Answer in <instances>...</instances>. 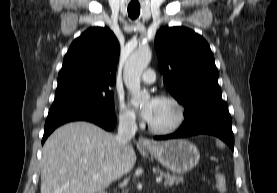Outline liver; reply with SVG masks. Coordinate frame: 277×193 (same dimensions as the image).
I'll return each mask as SVG.
<instances>
[{"instance_id":"6515ba94","label":"liver","mask_w":277,"mask_h":193,"mask_svg":"<svg viewBox=\"0 0 277 193\" xmlns=\"http://www.w3.org/2000/svg\"><path fill=\"white\" fill-rule=\"evenodd\" d=\"M136 154L89 122L55 130L42 150L41 193H97L131 171Z\"/></svg>"}]
</instances>
